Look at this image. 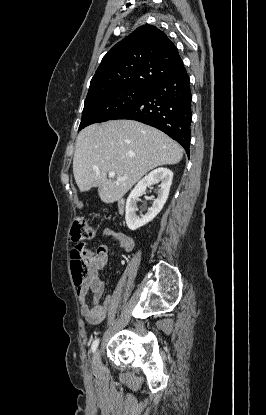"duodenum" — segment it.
<instances>
[{"instance_id":"1","label":"duodenum","mask_w":266,"mask_h":415,"mask_svg":"<svg viewBox=\"0 0 266 415\" xmlns=\"http://www.w3.org/2000/svg\"><path fill=\"white\" fill-rule=\"evenodd\" d=\"M118 208H119L120 211H123V208H124V201L123 200H120L118 202Z\"/></svg>"}]
</instances>
